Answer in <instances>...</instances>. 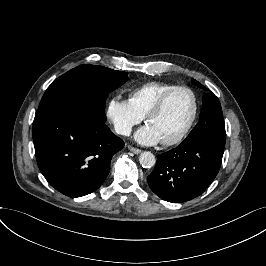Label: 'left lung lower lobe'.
Masks as SVG:
<instances>
[{"instance_id":"obj_1","label":"left lung lower lobe","mask_w":266,"mask_h":266,"mask_svg":"<svg viewBox=\"0 0 266 266\" xmlns=\"http://www.w3.org/2000/svg\"><path fill=\"white\" fill-rule=\"evenodd\" d=\"M226 137L204 135L157 156L148 176L151 190L165 201L183 203L201 195L215 179Z\"/></svg>"}]
</instances>
